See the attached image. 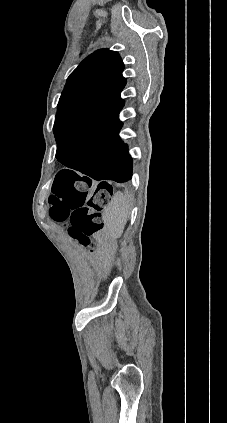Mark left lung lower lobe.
<instances>
[{"label":"left lung lower lobe","instance_id":"0a47b994","mask_svg":"<svg viewBox=\"0 0 227 423\" xmlns=\"http://www.w3.org/2000/svg\"><path fill=\"white\" fill-rule=\"evenodd\" d=\"M118 114L119 112L108 115L102 121L88 123L78 132L57 141V160L95 180H113L119 183L130 180L132 159L127 145L118 137L122 127ZM63 173L75 179L86 178H80L70 170H63Z\"/></svg>","mask_w":227,"mask_h":423}]
</instances>
